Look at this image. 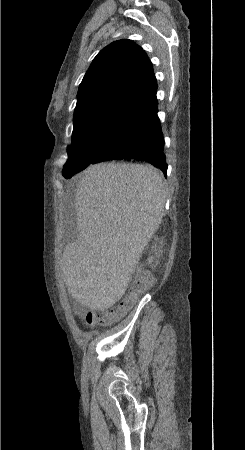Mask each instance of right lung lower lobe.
<instances>
[{
	"label": "right lung lower lobe",
	"mask_w": 245,
	"mask_h": 450,
	"mask_svg": "<svg viewBox=\"0 0 245 450\" xmlns=\"http://www.w3.org/2000/svg\"><path fill=\"white\" fill-rule=\"evenodd\" d=\"M157 104L138 115L128 138L113 150L101 153L92 163L113 159H138L158 167L166 176L167 164L163 153L164 140L157 116Z\"/></svg>",
	"instance_id": "1"
}]
</instances>
